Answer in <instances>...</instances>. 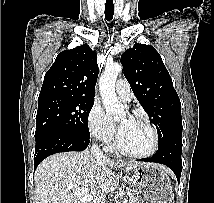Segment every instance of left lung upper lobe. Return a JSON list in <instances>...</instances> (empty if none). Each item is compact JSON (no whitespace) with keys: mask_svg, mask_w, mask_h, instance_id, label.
<instances>
[{"mask_svg":"<svg viewBox=\"0 0 214 203\" xmlns=\"http://www.w3.org/2000/svg\"><path fill=\"white\" fill-rule=\"evenodd\" d=\"M121 62L134 95L157 128L158 145L182 135L180 99L156 49L135 43L122 54Z\"/></svg>","mask_w":214,"mask_h":203,"instance_id":"5c2ea615","label":"left lung upper lobe"}]
</instances>
